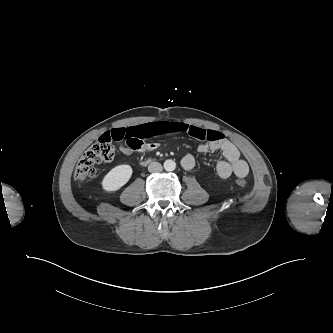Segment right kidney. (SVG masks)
Here are the masks:
<instances>
[{
  "label": "right kidney",
  "instance_id": "right-kidney-1",
  "mask_svg": "<svg viewBox=\"0 0 333 333\" xmlns=\"http://www.w3.org/2000/svg\"><path fill=\"white\" fill-rule=\"evenodd\" d=\"M130 165H118L112 168L102 180V189L105 192H115L124 186L132 176Z\"/></svg>",
  "mask_w": 333,
  "mask_h": 333
}]
</instances>
